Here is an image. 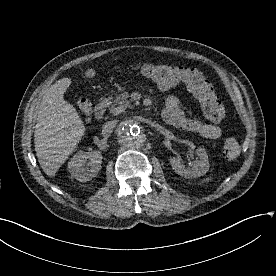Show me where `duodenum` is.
<instances>
[{
	"label": "duodenum",
	"instance_id": "obj_1",
	"mask_svg": "<svg viewBox=\"0 0 276 276\" xmlns=\"http://www.w3.org/2000/svg\"><path fill=\"white\" fill-rule=\"evenodd\" d=\"M108 107V101L102 99L95 107L94 115L97 120H102L104 118L106 109Z\"/></svg>",
	"mask_w": 276,
	"mask_h": 276
}]
</instances>
